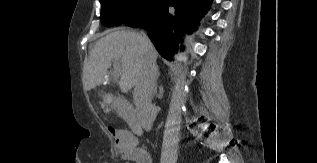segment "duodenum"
<instances>
[{
    "instance_id": "1",
    "label": "duodenum",
    "mask_w": 317,
    "mask_h": 163,
    "mask_svg": "<svg viewBox=\"0 0 317 163\" xmlns=\"http://www.w3.org/2000/svg\"><path fill=\"white\" fill-rule=\"evenodd\" d=\"M117 104H118V109L120 111L121 117L129 125L132 133L135 136L142 134L143 132L142 124L139 120L138 114L133 109V107L123 98H118ZM132 142H133L134 149L139 155L145 152L143 149L139 148L136 145L135 140L133 138H132Z\"/></svg>"
}]
</instances>
